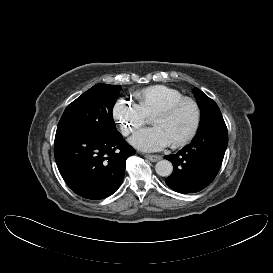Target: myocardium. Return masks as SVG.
<instances>
[{"label":"myocardium","instance_id":"myocardium-1","mask_svg":"<svg viewBox=\"0 0 273 273\" xmlns=\"http://www.w3.org/2000/svg\"><path fill=\"white\" fill-rule=\"evenodd\" d=\"M183 103H190L193 105L195 112H196V119H195V123H194V126H193L190 134L184 140H182L178 143L172 144L173 148L185 147L196 137L198 130L200 128V124H201V109H200L199 104L194 99H192L190 97H182L176 101L169 103L165 107H163L152 118L153 123L158 119L168 118L173 113V111Z\"/></svg>","mask_w":273,"mask_h":273}]
</instances>
